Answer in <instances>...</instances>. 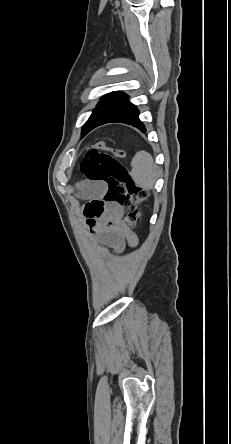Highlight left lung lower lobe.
Here are the masks:
<instances>
[{"label": "left lung lower lobe", "instance_id": "0a47b994", "mask_svg": "<svg viewBox=\"0 0 231 444\" xmlns=\"http://www.w3.org/2000/svg\"><path fill=\"white\" fill-rule=\"evenodd\" d=\"M138 114H139V111H138L137 107L128 101L123 106V108L119 111V113H117L113 117L103 119V120L91 125L88 132L99 125L109 123V122H121V123L130 124V125H133L139 129L143 130V132H145L146 129H145L144 125L140 122V120L138 118Z\"/></svg>", "mask_w": 231, "mask_h": 444}]
</instances>
